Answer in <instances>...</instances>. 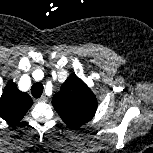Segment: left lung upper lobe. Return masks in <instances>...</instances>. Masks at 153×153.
Returning a JSON list of instances; mask_svg holds the SVG:
<instances>
[{"mask_svg":"<svg viewBox=\"0 0 153 153\" xmlns=\"http://www.w3.org/2000/svg\"><path fill=\"white\" fill-rule=\"evenodd\" d=\"M52 104L64 123L73 129L89 122L98 106L94 93L75 74L70 75L53 96Z\"/></svg>","mask_w":153,"mask_h":153,"instance_id":"1","label":"left lung upper lobe"}]
</instances>
